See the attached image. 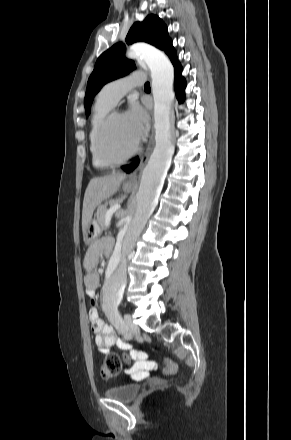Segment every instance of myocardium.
Here are the masks:
<instances>
[{
    "label": "myocardium",
    "mask_w": 291,
    "mask_h": 440,
    "mask_svg": "<svg viewBox=\"0 0 291 440\" xmlns=\"http://www.w3.org/2000/svg\"><path fill=\"white\" fill-rule=\"evenodd\" d=\"M123 115L119 110L110 111L102 120L97 131V149L100 157L110 164H122L131 159L140 148V141L137 140L133 148L123 156L112 154L106 144L108 128L115 117Z\"/></svg>",
    "instance_id": "myocardium-1"
}]
</instances>
